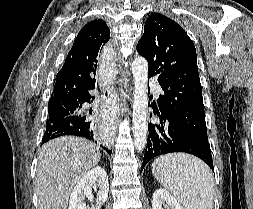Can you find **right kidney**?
Instances as JSON below:
<instances>
[{
    "instance_id": "obj_1",
    "label": "right kidney",
    "mask_w": 253,
    "mask_h": 209,
    "mask_svg": "<svg viewBox=\"0 0 253 209\" xmlns=\"http://www.w3.org/2000/svg\"><path fill=\"white\" fill-rule=\"evenodd\" d=\"M92 187H98L96 205L92 208L86 206L85 198L92 199ZM109 192L108 176L106 171L97 166L88 171L73 189L68 209H101V205L107 201Z\"/></svg>"
}]
</instances>
